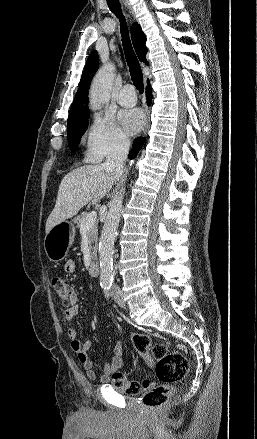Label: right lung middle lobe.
I'll list each match as a JSON object with an SVG mask.
<instances>
[{
    "mask_svg": "<svg viewBox=\"0 0 257 439\" xmlns=\"http://www.w3.org/2000/svg\"><path fill=\"white\" fill-rule=\"evenodd\" d=\"M89 114L68 118L67 135L71 149H75L88 125Z\"/></svg>",
    "mask_w": 257,
    "mask_h": 439,
    "instance_id": "right-lung-middle-lobe-1",
    "label": "right lung middle lobe"
}]
</instances>
